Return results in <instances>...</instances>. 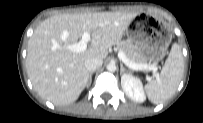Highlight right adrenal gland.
I'll return each instance as SVG.
<instances>
[{
  "instance_id": "1",
  "label": "right adrenal gland",
  "mask_w": 203,
  "mask_h": 123,
  "mask_svg": "<svg viewBox=\"0 0 203 123\" xmlns=\"http://www.w3.org/2000/svg\"><path fill=\"white\" fill-rule=\"evenodd\" d=\"M93 73H94V72H91V73L89 74V79H88L87 88H89V87L91 86Z\"/></svg>"
}]
</instances>
